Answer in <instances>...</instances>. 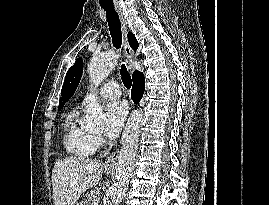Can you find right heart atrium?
<instances>
[{"mask_svg":"<svg viewBox=\"0 0 269 205\" xmlns=\"http://www.w3.org/2000/svg\"><path fill=\"white\" fill-rule=\"evenodd\" d=\"M94 142H95L96 147H100V146L103 145L104 140L100 135H95L94 136Z\"/></svg>","mask_w":269,"mask_h":205,"instance_id":"d8ad5b80","label":"right heart atrium"}]
</instances>
